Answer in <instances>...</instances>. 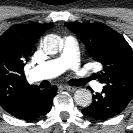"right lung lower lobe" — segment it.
Listing matches in <instances>:
<instances>
[{"mask_svg": "<svg viewBox=\"0 0 133 133\" xmlns=\"http://www.w3.org/2000/svg\"><path fill=\"white\" fill-rule=\"evenodd\" d=\"M57 94V87L53 86L48 90H40L30 98L27 106L21 110L10 113L16 118L34 119L45 115L51 110L52 99Z\"/></svg>", "mask_w": 133, "mask_h": 133, "instance_id": "right-lung-lower-lobe-1", "label": "right lung lower lobe"}]
</instances>
